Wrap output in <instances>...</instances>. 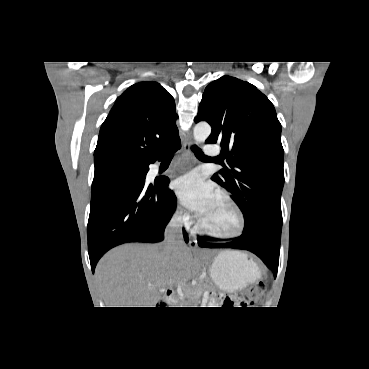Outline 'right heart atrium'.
I'll return each mask as SVG.
<instances>
[{
	"label": "right heart atrium",
	"instance_id": "d8ad5b80",
	"mask_svg": "<svg viewBox=\"0 0 369 369\" xmlns=\"http://www.w3.org/2000/svg\"><path fill=\"white\" fill-rule=\"evenodd\" d=\"M176 217L178 220H180L181 222L185 224L188 222V219H189L188 215L184 213L180 207H178L176 210Z\"/></svg>",
	"mask_w": 369,
	"mask_h": 369
}]
</instances>
